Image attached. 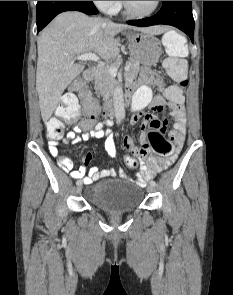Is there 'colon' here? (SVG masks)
<instances>
[{
	"instance_id": "5ec220e1",
	"label": "colon",
	"mask_w": 233,
	"mask_h": 295,
	"mask_svg": "<svg viewBox=\"0 0 233 295\" xmlns=\"http://www.w3.org/2000/svg\"><path fill=\"white\" fill-rule=\"evenodd\" d=\"M163 46L169 58L165 62V69L168 75L176 81V85L166 87L171 96L182 94L187 86V65L185 58L188 56V44L186 39L176 31L167 32L163 36ZM86 79L80 77L70 86L69 92L63 97L62 104L56 109V116L51 117L46 122L47 136L55 141L62 137L64 133V123L60 118L74 119L79 114L78 101L75 94L80 97L88 93L86 88ZM96 115V108H91L85 113L84 118L92 121ZM145 143L149 149L153 150L159 156H169L174 151V144L164 136V132L152 129L148 132ZM145 151L143 147L138 153L127 155L124 159L128 168L134 169L138 166L137 156Z\"/></svg>"
}]
</instances>
